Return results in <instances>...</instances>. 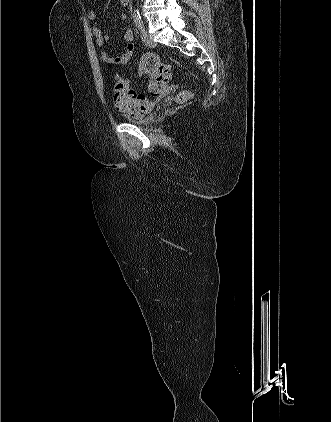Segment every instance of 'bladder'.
I'll list each match as a JSON object with an SVG mask.
<instances>
[{"instance_id": "1", "label": "bladder", "mask_w": 331, "mask_h": 422, "mask_svg": "<svg viewBox=\"0 0 331 422\" xmlns=\"http://www.w3.org/2000/svg\"><path fill=\"white\" fill-rule=\"evenodd\" d=\"M123 119L130 124L137 125V126H149L155 120V115L152 112H149L142 116H132V115H124Z\"/></svg>"}]
</instances>
